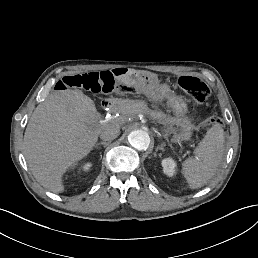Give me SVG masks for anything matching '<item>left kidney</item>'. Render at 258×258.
<instances>
[{
	"instance_id": "obj_1",
	"label": "left kidney",
	"mask_w": 258,
	"mask_h": 258,
	"mask_svg": "<svg viewBox=\"0 0 258 258\" xmlns=\"http://www.w3.org/2000/svg\"><path fill=\"white\" fill-rule=\"evenodd\" d=\"M162 173L168 178H174L177 174V162L172 157H165L161 160Z\"/></svg>"
}]
</instances>
